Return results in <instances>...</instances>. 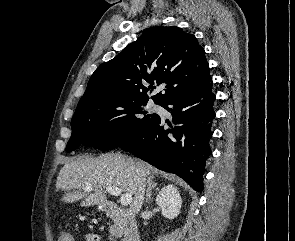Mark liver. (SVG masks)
I'll list each match as a JSON object with an SVG mask.
<instances>
[{"label": "liver", "instance_id": "6515ba94", "mask_svg": "<svg viewBox=\"0 0 295 241\" xmlns=\"http://www.w3.org/2000/svg\"><path fill=\"white\" fill-rule=\"evenodd\" d=\"M136 170L146 175L155 172V168L146 162L122 154L79 157L66 162L61 168L56 188L64 191L62 201L66 203L82 200L81 206L105 204L106 187H119L122 192L131 195L137 192ZM88 185L92 188L86 191Z\"/></svg>", "mask_w": 295, "mask_h": 241}]
</instances>
